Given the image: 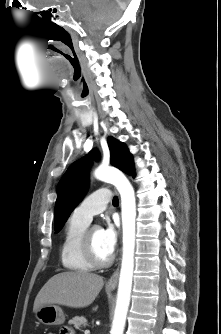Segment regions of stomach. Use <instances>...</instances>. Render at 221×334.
Listing matches in <instances>:
<instances>
[{
  "mask_svg": "<svg viewBox=\"0 0 221 334\" xmlns=\"http://www.w3.org/2000/svg\"><path fill=\"white\" fill-rule=\"evenodd\" d=\"M35 316L45 325H61L65 321L63 310L54 304L41 307L35 312Z\"/></svg>",
  "mask_w": 221,
  "mask_h": 334,
  "instance_id": "0dacf381",
  "label": "stomach"
}]
</instances>
